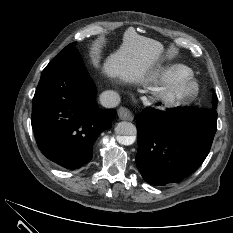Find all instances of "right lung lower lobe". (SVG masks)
Returning a JSON list of instances; mask_svg holds the SVG:
<instances>
[{
	"instance_id": "1",
	"label": "right lung lower lobe",
	"mask_w": 233,
	"mask_h": 233,
	"mask_svg": "<svg viewBox=\"0 0 233 233\" xmlns=\"http://www.w3.org/2000/svg\"><path fill=\"white\" fill-rule=\"evenodd\" d=\"M96 87L79 53L57 55L43 70L32 106V128L41 152L54 163L78 169L92 158L99 134L116 111L99 109Z\"/></svg>"
}]
</instances>
